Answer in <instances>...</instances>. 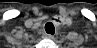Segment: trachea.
Instances as JSON below:
<instances>
[{
    "label": "trachea",
    "instance_id": "1",
    "mask_svg": "<svg viewBox=\"0 0 97 48\" xmlns=\"http://www.w3.org/2000/svg\"><path fill=\"white\" fill-rule=\"evenodd\" d=\"M45 31H46L48 34L53 35V34L55 33L54 25H53L51 22H48V23L45 25Z\"/></svg>",
    "mask_w": 97,
    "mask_h": 48
}]
</instances>
